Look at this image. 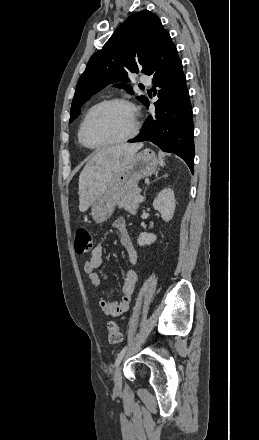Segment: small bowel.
I'll return each mask as SVG.
<instances>
[{"mask_svg": "<svg viewBox=\"0 0 259 440\" xmlns=\"http://www.w3.org/2000/svg\"><path fill=\"white\" fill-rule=\"evenodd\" d=\"M113 226L119 232V241L126 252L127 261L130 264H135L138 260V254L127 231L126 220L123 217H119L113 222ZM103 251L102 245H96L91 252L90 258L86 260L83 265V270L90 280L93 291H96L101 284V279L96 270L103 264ZM136 282L137 274L132 269L128 270L122 284L121 300L111 302L101 298L98 301L101 310L106 315L113 317L125 313L129 309Z\"/></svg>", "mask_w": 259, "mask_h": 440, "instance_id": "obj_1", "label": "small bowel"}]
</instances>
